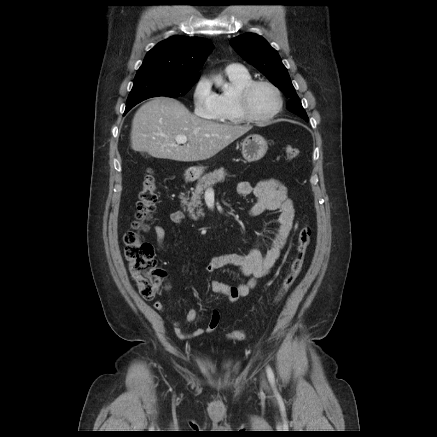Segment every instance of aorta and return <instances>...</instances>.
Segmentation results:
<instances>
[{"label": "aorta", "instance_id": "obj_1", "mask_svg": "<svg viewBox=\"0 0 437 437\" xmlns=\"http://www.w3.org/2000/svg\"><path fill=\"white\" fill-rule=\"evenodd\" d=\"M217 85H218V86H221V85H222V81H218V82H217Z\"/></svg>", "mask_w": 437, "mask_h": 437}]
</instances>
